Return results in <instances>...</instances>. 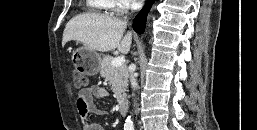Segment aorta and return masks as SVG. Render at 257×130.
I'll use <instances>...</instances> for the list:
<instances>
[{
	"label": "aorta",
	"instance_id": "aorta-1",
	"mask_svg": "<svg viewBox=\"0 0 257 130\" xmlns=\"http://www.w3.org/2000/svg\"><path fill=\"white\" fill-rule=\"evenodd\" d=\"M133 122L132 120L130 119V117H128L125 121V124H124V129L125 130H133Z\"/></svg>",
	"mask_w": 257,
	"mask_h": 130
}]
</instances>
